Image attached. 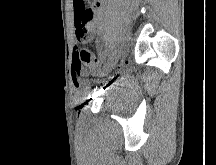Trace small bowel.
Here are the masks:
<instances>
[{"instance_id": "1", "label": "small bowel", "mask_w": 216, "mask_h": 165, "mask_svg": "<svg viewBox=\"0 0 216 165\" xmlns=\"http://www.w3.org/2000/svg\"><path fill=\"white\" fill-rule=\"evenodd\" d=\"M83 13H92L88 20L83 19ZM73 14L75 22V35L81 27L91 34H100L103 31L104 0H93L92 5H86L85 0H73ZM80 76L74 77V84L79 85Z\"/></svg>"}]
</instances>
